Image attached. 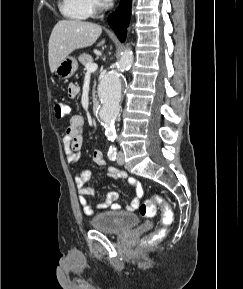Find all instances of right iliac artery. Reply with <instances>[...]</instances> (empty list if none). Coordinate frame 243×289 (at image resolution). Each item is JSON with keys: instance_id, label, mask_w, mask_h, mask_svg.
<instances>
[{"instance_id": "obj_1", "label": "right iliac artery", "mask_w": 243, "mask_h": 289, "mask_svg": "<svg viewBox=\"0 0 243 289\" xmlns=\"http://www.w3.org/2000/svg\"><path fill=\"white\" fill-rule=\"evenodd\" d=\"M116 157H117V152L116 151H109L108 152V158L111 160V161H115L116 160Z\"/></svg>"}]
</instances>
